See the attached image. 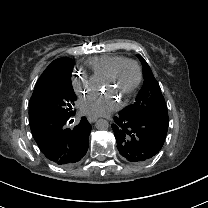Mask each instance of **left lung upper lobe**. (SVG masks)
<instances>
[{
  "label": "left lung upper lobe",
  "mask_w": 208,
  "mask_h": 208,
  "mask_svg": "<svg viewBox=\"0 0 208 208\" xmlns=\"http://www.w3.org/2000/svg\"><path fill=\"white\" fill-rule=\"evenodd\" d=\"M138 57L143 65L144 83L136 101L122 111L131 115L152 118L168 126V112L160 86L145 59Z\"/></svg>",
  "instance_id": "5c2ea615"
}]
</instances>
